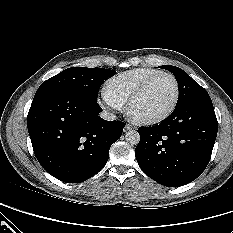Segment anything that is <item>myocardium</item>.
<instances>
[{
  "label": "myocardium",
  "instance_id": "obj_1",
  "mask_svg": "<svg viewBox=\"0 0 233 233\" xmlns=\"http://www.w3.org/2000/svg\"><path fill=\"white\" fill-rule=\"evenodd\" d=\"M162 76H167L169 78L172 79V81L174 82L175 85V97L173 102L171 103L170 107L163 112L160 115L154 116V117H140V120L137 121L141 124L144 125H155V124H159L163 121H165L167 118H169L173 112L175 111L178 103H179V99H180V85L179 82L176 78V76L171 73V72H167V71H160L156 74H154L153 76H151L150 78H148L145 82H143L134 92L133 94L129 97L127 103H126V109L129 115L132 114V108L134 106V104L144 95V93L147 91V89L149 88V86L159 77Z\"/></svg>",
  "mask_w": 233,
  "mask_h": 233
}]
</instances>
